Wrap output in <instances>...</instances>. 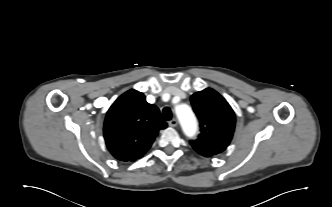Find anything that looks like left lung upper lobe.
<instances>
[{
	"label": "left lung upper lobe",
	"instance_id": "1",
	"mask_svg": "<svg viewBox=\"0 0 332 207\" xmlns=\"http://www.w3.org/2000/svg\"><path fill=\"white\" fill-rule=\"evenodd\" d=\"M193 110L200 121V135L190 144L199 154L210 157L229 145L234 128L235 113L215 90L206 88L191 96Z\"/></svg>",
	"mask_w": 332,
	"mask_h": 207
}]
</instances>
